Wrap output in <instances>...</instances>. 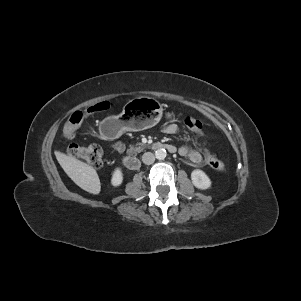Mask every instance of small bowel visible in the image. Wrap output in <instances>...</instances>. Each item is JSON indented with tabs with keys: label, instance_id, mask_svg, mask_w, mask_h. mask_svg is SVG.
<instances>
[{
	"label": "small bowel",
	"instance_id": "1",
	"mask_svg": "<svg viewBox=\"0 0 301 301\" xmlns=\"http://www.w3.org/2000/svg\"><path fill=\"white\" fill-rule=\"evenodd\" d=\"M178 131V125L175 123H169L163 128V132L165 134H175ZM113 147L119 152H124V145L121 142L115 141L113 142ZM179 154L182 157L187 158L190 162L194 164H200L203 162V156L200 152L197 150L188 147L183 146L179 149Z\"/></svg>",
	"mask_w": 301,
	"mask_h": 301
}]
</instances>
